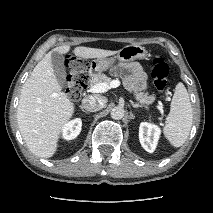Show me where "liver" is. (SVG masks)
<instances>
[{
    "label": "liver",
    "mask_w": 213,
    "mask_h": 213,
    "mask_svg": "<svg viewBox=\"0 0 213 213\" xmlns=\"http://www.w3.org/2000/svg\"><path fill=\"white\" fill-rule=\"evenodd\" d=\"M69 45L48 52L24 83L17 108V123L28 149L38 157L50 158L57 151L63 127L74 113V103L62 92L51 63V53L66 54ZM117 51L76 47L84 59L105 58Z\"/></svg>",
    "instance_id": "1"
}]
</instances>
